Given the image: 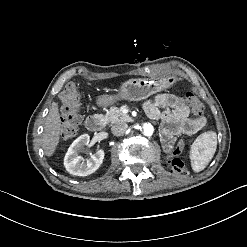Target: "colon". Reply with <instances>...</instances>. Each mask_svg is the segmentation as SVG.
Wrapping results in <instances>:
<instances>
[{"mask_svg": "<svg viewBox=\"0 0 247 247\" xmlns=\"http://www.w3.org/2000/svg\"><path fill=\"white\" fill-rule=\"evenodd\" d=\"M185 97L194 109L195 115L201 116L203 113V105L198 98L192 92L186 93ZM60 108L62 112V136L64 139L69 140L76 136L82 122L83 100L75 84H68L61 92ZM180 151L181 146L176 144L173 153L167 160V166L173 173L185 175L188 173L187 165L182 159L176 157L180 154Z\"/></svg>", "mask_w": 247, "mask_h": 247, "instance_id": "1", "label": "colon"}]
</instances>
